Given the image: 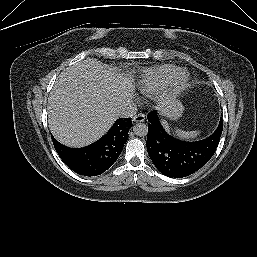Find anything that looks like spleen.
<instances>
[{
  "label": "spleen",
  "instance_id": "1",
  "mask_svg": "<svg viewBox=\"0 0 257 257\" xmlns=\"http://www.w3.org/2000/svg\"><path fill=\"white\" fill-rule=\"evenodd\" d=\"M164 125L166 126V128L168 127V124L166 121L163 122ZM200 132L199 131H183V130H180V129H177L176 130V134L177 136H179L180 138H183V139H192V138H195Z\"/></svg>",
  "mask_w": 257,
  "mask_h": 257
}]
</instances>
